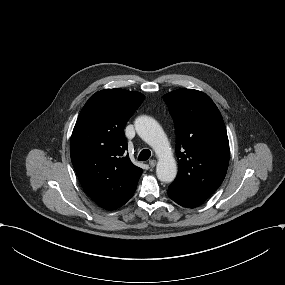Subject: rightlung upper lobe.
Returning a JSON list of instances; mask_svg holds the SVG:
<instances>
[{
  "label": "right lung upper lobe",
  "instance_id": "right-lung-upper-lobe-1",
  "mask_svg": "<svg viewBox=\"0 0 285 285\" xmlns=\"http://www.w3.org/2000/svg\"><path fill=\"white\" fill-rule=\"evenodd\" d=\"M144 97L123 89L99 91L86 102L73 129L70 155L78 179L106 210L132 197L143 172L126 153L124 127Z\"/></svg>",
  "mask_w": 285,
  "mask_h": 285
}]
</instances>
